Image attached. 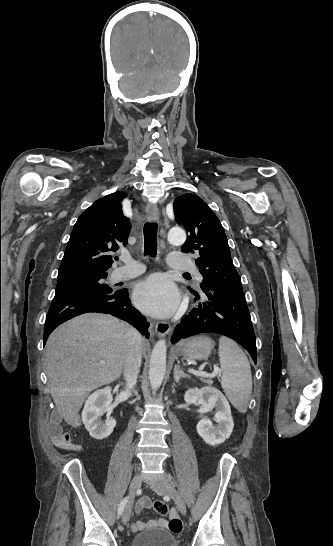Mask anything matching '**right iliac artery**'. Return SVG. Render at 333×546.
Returning a JSON list of instances; mask_svg holds the SVG:
<instances>
[{
  "label": "right iliac artery",
  "instance_id": "1",
  "mask_svg": "<svg viewBox=\"0 0 333 546\" xmlns=\"http://www.w3.org/2000/svg\"><path fill=\"white\" fill-rule=\"evenodd\" d=\"M129 497L124 498L118 507V516H120L125 508L126 503L128 502Z\"/></svg>",
  "mask_w": 333,
  "mask_h": 546
}]
</instances>
